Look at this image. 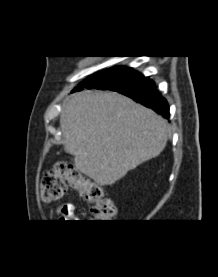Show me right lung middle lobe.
I'll use <instances>...</instances> for the list:
<instances>
[{
	"mask_svg": "<svg viewBox=\"0 0 218 277\" xmlns=\"http://www.w3.org/2000/svg\"><path fill=\"white\" fill-rule=\"evenodd\" d=\"M101 82L102 89H122L133 85L143 78V75L129 67H113L106 71L95 74ZM94 76V75H92Z\"/></svg>",
	"mask_w": 218,
	"mask_h": 277,
	"instance_id": "1",
	"label": "right lung middle lobe"
}]
</instances>
